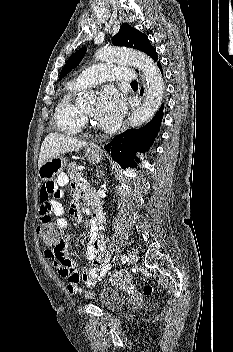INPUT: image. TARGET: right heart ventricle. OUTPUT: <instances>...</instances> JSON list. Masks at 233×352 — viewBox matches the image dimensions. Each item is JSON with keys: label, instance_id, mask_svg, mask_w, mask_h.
<instances>
[{"label": "right heart ventricle", "instance_id": "1", "mask_svg": "<svg viewBox=\"0 0 233 352\" xmlns=\"http://www.w3.org/2000/svg\"><path fill=\"white\" fill-rule=\"evenodd\" d=\"M81 89L76 83L69 82L56 106V125L60 131L68 135H77L84 128L81 108L74 101L76 93Z\"/></svg>", "mask_w": 233, "mask_h": 352}]
</instances>
